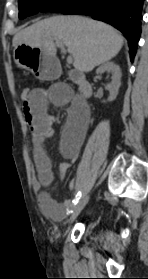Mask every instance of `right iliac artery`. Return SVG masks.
<instances>
[{
	"label": "right iliac artery",
	"instance_id": "right-iliac-artery-1",
	"mask_svg": "<svg viewBox=\"0 0 148 279\" xmlns=\"http://www.w3.org/2000/svg\"><path fill=\"white\" fill-rule=\"evenodd\" d=\"M80 198H81V192L79 191L77 193L76 197L74 198V200L72 201L71 207L67 210V214H70L73 212V209H74L75 205L78 203Z\"/></svg>",
	"mask_w": 148,
	"mask_h": 279
}]
</instances>
